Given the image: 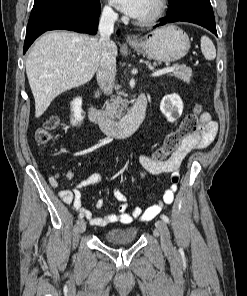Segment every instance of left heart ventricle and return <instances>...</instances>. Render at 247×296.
I'll return each mask as SVG.
<instances>
[{
	"mask_svg": "<svg viewBox=\"0 0 247 296\" xmlns=\"http://www.w3.org/2000/svg\"><path fill=\"white\" fill-rule=\"evenodd\" d=\"M153 9H154V0H149L147 9L143 13V15L139 17V19L148 17L152 13Z\"/></svg>",
	"mask_w": 247,
	"mask_h": 296,
	"instance_id": "obj_1",
	"label": "left heart ventricle"
}]
</instances>
